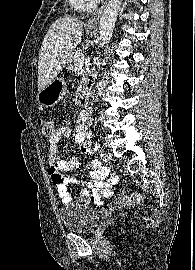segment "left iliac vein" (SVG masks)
<instances>
[{
	"mask_svg": "<svg viewBox=\"0 0 195 270\" xmlns=\"http://www.w3.org/2000/svg\"><path fill=\"white\" fill-rule=\"evenodd\" d=\"M100 153H101V157H102L103 161L107 162L111 159V153L109 152L108 149L102 148Z\"/></svg>",
	"mask_w": 195,
	"mask_h": 270,
	"instance_id": "obj_1",
	"label": "left iliac vein"
}]
</instances>
